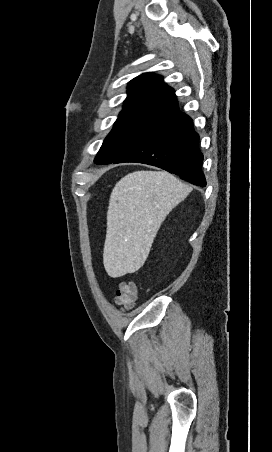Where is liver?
I'll return each mask as SVG.
<instances>
[{"label":"liver","instance_id":"6515ba94","mask_svg":"<svg viewBox=\"0 0 272 452\" xmlns=\"http://www.w3.org/2000/svg\"><path fill=\"white\" fill-rule=\"evenodd\" d=\"M192 188L166 171H136L112 190L107 211L103 263L118 278L145 263L166 216Z\"/></svg>","mask_w":272,"mask_h":452}]
</instances>
